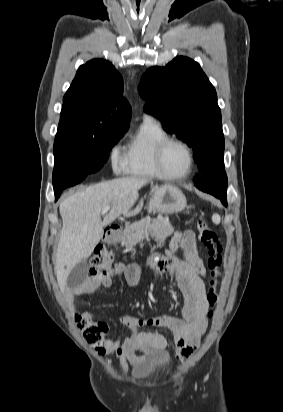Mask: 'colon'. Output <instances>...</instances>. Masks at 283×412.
I'll return each instance as SVG.
<instances>
[{"mask_svg": "<svg viewBox=\"0 0 283 412\" xmlns=\"http://www.w3.org/2000/svg\"><path fill=\"white\" fill-rule=\"evenodd\" d=\"M196 218L200 240L208 252V267L211 271V280L206 299L208 304L213 307L218 300L217 288L220 269L223 263V247L217 233L206 223L202 213L198 212ZM155 262L164 265L167 260L164 257H159ZM116 269L117 266L113 264L110 250L105 246H98L91 258L92 276L98 279L106 278L112 275ZM209 315H212V311L209 312ZM75 322L76 327L86 344L95 349L98 353H103L105 351L108 325L104 322L96 321L82 315L76 316Z\"/></svg>", "mask_w": 283, "mask_h": 412, "instance_id": "obj_1", "label": "colon"}]
</instances>
